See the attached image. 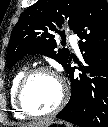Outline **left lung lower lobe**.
<instances>
[{"mask_svg": "<svg viewBox=\"0 0 108 127\" xmlns=\"http://www.w3.org/2000/svg\"><path fill=\"white\" fill-rule=\"evenodd\" d=\"M81 41L84 64L79 72L68 63L65 70L72 94L65 108L56 115L80 127H108V4L105 0H86L74 28ZM101 69L99 84L90 77V67Z\"/></svg>", "mask_w": 108, "mask_h": 127, "instance_id": "obj_1", "label": "left lung lower lobe"}]
</instances>
